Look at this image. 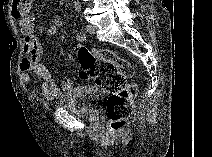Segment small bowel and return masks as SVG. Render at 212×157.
Here are the masks:
<instances>
[{
    "label": "small bowel",
    "instance_id": "c3829d8e",
    "mask_svg": "<svg viewBox=\"0 0 212 157\" xmlns=\"http://www.w3.org/2000/svg\"><path fill=\"white\" fill-rule=\"evenodd\" d=\"M33 0H14L11 4V16L18 20L23 35V57L20 61V78L28 84L30 74L41 79V90L47 100H54L72 88L69 78L61 80L57 85L48 68L42 63L43 50L39 38L35 34L36 25L31 16ZM62 20L55 18L47 29L49 36L55 35L62 27Z\"/></svg>",
    "mask_w": 212,
    "mask_h": 157
}]
</instances>
